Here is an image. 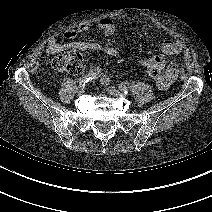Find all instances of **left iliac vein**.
Returning a JSON list of instances; mask_svg holds the SVG:
<instances>
[{"instance_id": "1", "label": "left iliac vein", "mask_w": 212, "mask_h": 212, "mask_svg": "<svg viewBox=\"0 0 212 212\" xmlns=\"http://www.w3.org/2000/svg\"><path fill=\"white\" fill-rule=\"evenodd\" d=\"M107 92L114 96V97H126V94L123 92H120L118 89H116L115 87L109 86L106 88Z\"/></svg>"}]
</instances>
